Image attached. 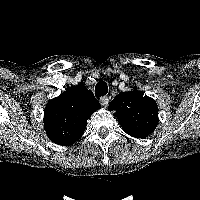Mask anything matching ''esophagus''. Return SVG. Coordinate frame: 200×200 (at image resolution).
<instances>
[{
	"label": "esophagus",
	"instance_id": "obj_1",
	"mask_svg": "<svg viewBox=\"0 0 200 200\" xmlns=\"http://www.w3.org/2000/svg\"><path fill=\"white\" fill-rule=\"evenodd\" d=\"M99 101H100L102 106L106 107L109 103V98L107 96H102V97H100Z\"/></svg>",
	"mask_w": 200,
	"mask_h": 200
}]
</instances>
